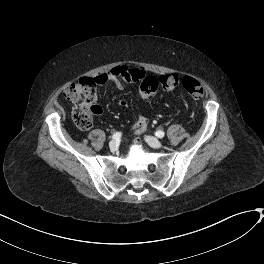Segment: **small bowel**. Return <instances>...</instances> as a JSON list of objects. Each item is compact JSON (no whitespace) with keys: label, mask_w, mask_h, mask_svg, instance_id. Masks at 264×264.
<instances>
[{"label":"small bowel","mask_w":264,"mask_h":264,"mask_svg":"<svg viewBox=\"0 0 264 264\" xmlns=\"http://www.w3.org/2000/svg\"><path fill=\"white\" fill-rule=\"evenodd\" d=\"M113 69L105 74L99 75L95 78V82L99 85L106 84L107 82H112L117 89H124V82H141L143 79L148 77L147 71L142 67H132V66H122L119 68V72L117 73ZM119 106L126 107L127 102L124 99L117 100ZM100 108L98 107V112H100ZM149 125V119L146 115L139 113L137 116L136 123L132 126L131 131L134 134H140L144 130L147 129Z\"/></svg>","instance_id":"obj_1"}]
</instances>
